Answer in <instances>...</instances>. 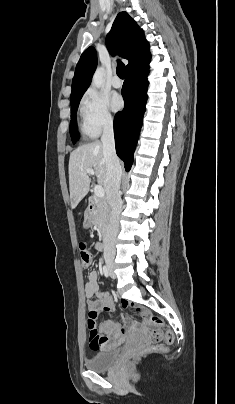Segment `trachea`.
<instances>
[{
	"label": "trachea",
	"mask_w": 235,
	"mask_h": 404,
	"mask_svg": "<svg viewBox=\"0 0 235 404\" xmlns=\"http://www.w3.org/2000/svg\"><path fill=\"white\" fill-rule=\"evenodd\" d=\"M117 75L121 78L124 79L125 76V65L118 60L117 64Z\"/></svg>",
	"instance_id": "trachea-1"
}]
</instances>
